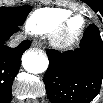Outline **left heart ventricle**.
Masks as SVG:
<instances>
[{
  "instance_id": "1",
  "label": "left heart ventricle",
  "mask_w": 103,
  "mask_h": 103,
  "mask_svg": "<svg viewBox=\"0 0 103 103\" xmlns=\"http://www.w3.org/2000/svg\"><path fill=\"white\" fill-rule=\"evenodd\" d=\"M81 23H82V21H81L80 18L74 19V20L71 22L70 30H72V31L77 30V29L81 26Z\"/></svg>"
}]
</instances>
